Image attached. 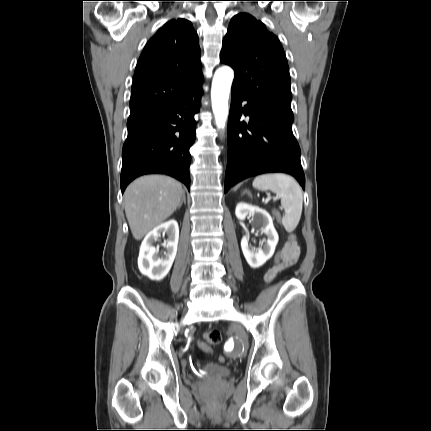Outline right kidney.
<instances>
[{
	"label": "right kidney",
	"mask_w": 431,
	"mask_h": 431,
	"mask_svg": "<svg viewBox=\"0 0 431 431\" xmlns=\"http://www.w3.org/2000/svg\"><path fill=\"white\" fill-rule=\"evenodd\" d=\"M162 235H167L164 247L166 251L159 255V248L153 243ZM179 240V227L175 220L165 222L152 231L144 238L138 257V268L140 272L151 280L160 281L170 271L177 253Z\"/></svg>",
	"instance_id": "right-kidney-1"
}]
</instances>
